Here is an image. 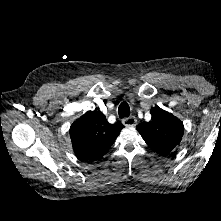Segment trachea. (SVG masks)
Masks as SVG:
<instances>
[{
	"mask_svg": "<svg viewBox=\"0 0 221 221\" xmlns=\"http://www.w3.org/2000/svg\"><path fill=\"white\" fill-rule=\"evenodd\" d=\"M118 114L120 118H125L130 115V107L128 103L122 102L118 108Z\"/></svg>",
	"mask_w": 221,
	"mask_h": 221,
	"instance_id": "obj_1",
	"label": "trachea"
}]
</instances>
